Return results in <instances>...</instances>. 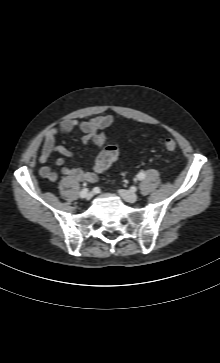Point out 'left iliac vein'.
Masks as SVG:
<instances>
[{"instance_id": "4c4485c4", "label": "left iliac vein", "mask_w": 220, "mask_h": 363, "mask_svg": "<svg viewBox=\"0 0 220 363\" xmlns=\"http://www.w3.org/2000/svg\"><path fill=\"white\" fill-rule=\"evenodd\" d=\"M119 195L127 202L134 203L138 199V195L131 190H119Z\"/></svg>"}]
</instances>
